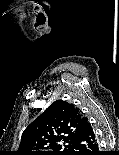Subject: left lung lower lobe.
Here are the masks:
<instances>
[{"label": "left lung lower lobe", "instance_id": "1", "mask_svg": "<svg viewBox=\"0 0 119 155\" xmlns=\"http://www.w3.org/2000/svg\"><path fill=\"white\" fill-rule=\"evenodd\" d=\"M75 147L78 150L76 155H104L99 150V144L94 129L89 120L82 116L77 135Z\"/></svg>", "mask_w": 119, "mask_h": 155}]
</instances>
